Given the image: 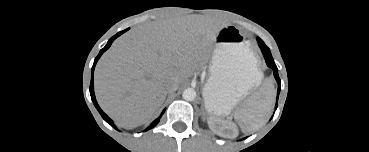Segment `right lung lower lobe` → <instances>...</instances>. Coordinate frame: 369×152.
<instances>
[{
    "mask_svg": "<svg viewBox=\"0 0 369 152\" xmlns=\"http://www.w3.org/2000/svg\"><path fill=\"white\" fill-rule=\"evenodd\" d=\"M125 31L127 30H124L122 32H119L117 33L115 36H113L107 43V45L100 51L99 55L96 57L95 61H94V64H93V67H92V74L94 72V68H95V65L98 61V59L100 58V56L103 54V52H105L109 47L110 45L112 44V42L118 37L120 36L122 33H124ZM90 95H91V99L95 105V107L97 108V110L99 111V113L101 114V116L103 117V119L108 123L110 124L112 127L116 128L115 125L113 124L112 120L100 109L96 99H95V95H94V87H93V76L91 78V84H90ZM165 111V110H164ZM164 111L162 112V114L164 113ZM160 120V117L157 118L146 130H149L153 127L156 126V124L159 122Z\"/></svg>",
    "mask_w": 369,
    "mask_h": 152,
    "instance_id": "98d812e1",
    "label": "right lung lower lobe"
}]
</instances>
